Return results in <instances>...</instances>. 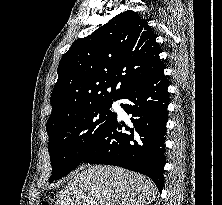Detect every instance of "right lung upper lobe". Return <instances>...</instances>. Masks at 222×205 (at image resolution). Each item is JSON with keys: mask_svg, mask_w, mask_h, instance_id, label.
I'll list each match as a JSON object with an SVG mask.
<instances>
[{"mask_svg": "<svg viewBox=\"0 0 222 205\" xmlns=\"http://www.w3.org/2000/svg\"><path fill=\"white\" fill-rule=\"evenodd\" d=\"M155 39L147 20L127 10L76 40L59 63L47 125L90 105L121 99L131 86L163 69Z\"/></svg>", "mask_w": 222, "mask_h": 205, "instance_id": "cb5924a9", "label": "right lung upper lobe"}]
</instances>
